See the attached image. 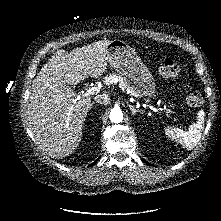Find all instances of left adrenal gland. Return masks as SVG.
Returning a JSON list of instances; mask_svg holds the SVG:
<instances>
[{
    "mask_svg": "<svg viewBox=\"0 0 221 221\" xmlns=\"http://www.w3.org/2000/svg\"><path fill=\"white\" fill-rule=\"evenodd\" d=\"M127 106L130 108V110L132 111V115H136V113H143V111L136 109L134 106H132L131 104L127 103Z\"/></svg>",
    "mask_w": 221,
    "mask_h": 221,
    "instance_id": "1",
    "label": "left adrenal gland"
}]
</instances>
